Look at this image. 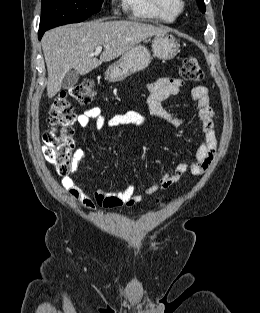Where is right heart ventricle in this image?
<instances>
[{"mask_svg": "<svg viewBox=\"0 0 260 313\" xmlns=\"http://www.w3.org/2000/svg\"><path fill=\"white\" fill-rule=\"evenodd\" d=\"M125 9L138 20L171 23L180 10L176 0H122Z\"/></svg>", "mask_w": 260, "mask_h": 313, "instance_id": "right-heart-ventricle-1", "label": "right heart ventricle"}]
</instances>
